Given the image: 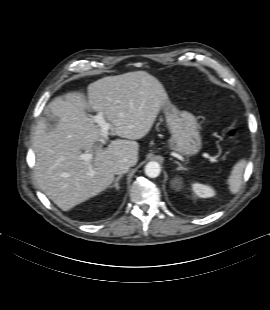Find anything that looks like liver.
I'll return each instance as SVG.
<instances>
[{
	"label": "liver",
	"instance_id": "obj_1",
	"mask_svg": "<svg viewBox=\"0 0 270 310\" xmlns=\"http://www.w3.org/2000/svg\"><path fill=\"white\" fill-rule=\"evenodd\" d=\"M80 92L55 98L46 111L58 118L54 127L41 119L33 137L35 177L40 189L63 211L98 195L114 181V165L138 161L139 144L151 130L168 96L162 84L145 71L101 78ZM103 112L116 139L103 148L101 128L86 110ZM101 143V144H97ZM81 150L92 155L84 161Z\"/></svg>",
	"mask_w": 270,
	"mask_h": 310
}]
</instances>
